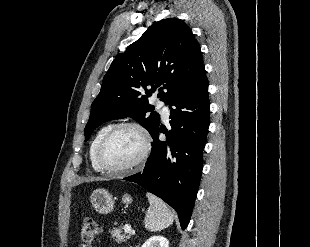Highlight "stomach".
I'll use <instances>...</instances> for the list:
<instances>
[{"label":"stomach","instance_id":"stomach-1","mask_svg":"<svg viewBox=\"0 0 310 247\" xmlns=\"http://www.w3.org/2000/svg\"><path fill=\"white\" fill-rule=\"evenodd\" d=\"M90 201L95 210L101 214H108L114 209L113 196L103 188L96 189L90 196ZM125 204L131 203L132 199L128 194L122 198Z\"/></svg>","mask_w":310,"mask_h":247}]
</instances>
